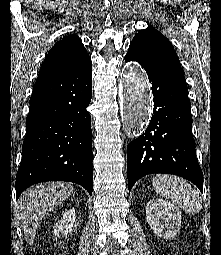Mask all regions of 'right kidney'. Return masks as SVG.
<instances>
[{
    "mask_svg": "<svg viewBox=\"0 0 221 255\" xmlns=\"http://www.w3.org/2000/svg\"><path fill=\"white\" fill-rule=\"evenodd\" d=\"M76 226L75 210H68L63 214V217L54 227L55 236L67 235L72 233V227Z\"/></svg>",
    "mask_w": 221,
    "mask_h": 255,
    "instance_id": "ca27d5eb",
    "label": "right kidney"
}]
</instances>
